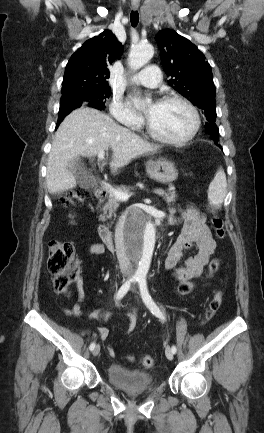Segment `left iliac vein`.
Returning <instances> with one entry per match:
<instances>
[{
	"label": "left iliac vein",
	"mask_w": 264,
	"mask_h": 433,
	"mask_svg": "<svg viewBox=\"0 0 264 433\" xmlns=\"http://www.w3.org/2000/svg\"><path fill=\"white\" fill-rule=\"evenodd\" d=\"M165 354H166V357L169 359V360H172L173 359V352H172V350H171V348L170 347H166V349H165Z\"/></svg>",
	"instance_id": "4c4485c4"
}]
</instances>
